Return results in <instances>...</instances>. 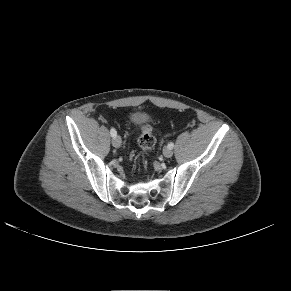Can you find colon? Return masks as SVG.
<instances>
[{
  "label": "colon",
  "instance_id": "colon-1",
  "mask_svg": "<svg viewBox=\"0 0 291 291\" xmlns=\"http://www.w3.org/2000/svg\"><path fill=\"white\" fill-rule=\"evenodd\" d=\"M155 142L156 140L152 134L151 126L148 124L142 126L141 134L138 138L139 147L144 151H148L155 145Z\"/></svg>",
  "mask_w": 291,
  "mask_h": 291
}]
</instances>
